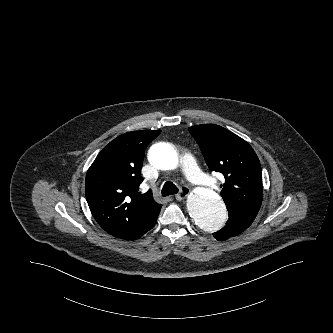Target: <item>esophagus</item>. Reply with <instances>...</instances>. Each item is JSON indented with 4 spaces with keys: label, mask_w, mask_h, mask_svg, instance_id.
<instances>
[{
    "label": "esophagus",
    "mask_w": 333,
    "mask_h": 333,
    "mask_svg": "<svg viewBox=\"0 0 333 333\" xmlns=\"http://www.w3.org/2000/svg\"><path fill=\"white\" fill-rule=\"evenodd\" d=\"M190 193L189 188L187 187H182L181 191L175 195V198L179 201L184 200Z\"/></svg>",
    "instance_id": "1"
}]
</instances>
